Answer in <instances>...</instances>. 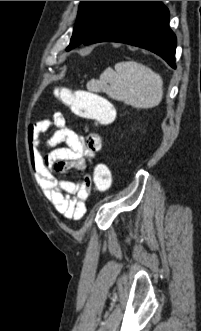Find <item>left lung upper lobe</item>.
Segmentation results:
<instances>
[{
	"label": "left lung upper lobe",
	"mask_w": 201,
	"mask_h": 331,
	"mask_svg": "<svg viewBox=\"0 0 201 331\" xmlns=\"http://www.w3.org/2000/svg\"><path fill=\"white\" fill-rule=\"evenodd\" d=\"M120 1H81L69 50L78 46L96 29Z\"/></svg>",
	"instance_id": "obj_1"
}]
</instances>
